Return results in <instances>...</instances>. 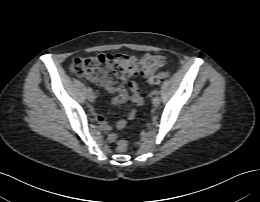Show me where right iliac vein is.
Returning a JSON list of instances; mask_svg holds the SVG:
<instances>
[{
  "instance_id": "1",
  "label": "right iliac vein",
  "mask_w": 260,
  "mask_h": 202,
  "mask_svg": "<svg viewBox=\"0 0 260 202\" xmlns=\"http://www.w3.org/2000/svg\"><path fill=\"white\" fill-rule=\"evenodd\" d=\"M88 100H89L90 102H93V101L95 100V95H94L93 93H89V94H88Z\"/></svg>"
}]
</instances>
